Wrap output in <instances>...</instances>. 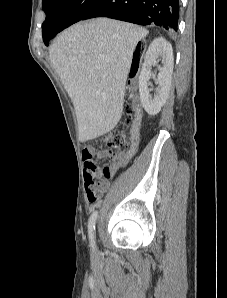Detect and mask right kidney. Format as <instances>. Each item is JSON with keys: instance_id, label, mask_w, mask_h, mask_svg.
Instances as JSON below:
<instances>
[{"instance_id": "obj_1", "label": "right kidney", "mask_w": 227, "mask_h": 298, "mask_svg": "<svg viewBox=\"0 0 227 298\" xmlns=\"http://www.w3.org/2000/svg\"><path fill=\"white\" fill-rule=\"evenodd\" d=\"M159 62L161 65L158 66L159 73L155 80L158 86L152 96L149 90V80L154 76L151 69ZM173 66L174 57L171 44L162 37L154 39L146 52L139 75L140 101L145 111L151 116L159 113L166 102L171 86Z\"/></svg>"}]
</instances>
